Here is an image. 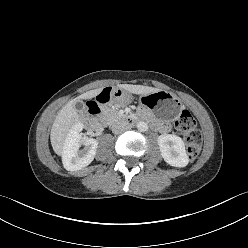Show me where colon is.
<instances>
[{"mask_svg":"<svg viewBox=\"0 0 248 248\" xmlns=\"http://www.w3.org/2000/svg\"><path fill=\"white\" fill-rule=\"evenodd\" d=\"M175 126L185 137L189 160H194L202 147V136L194 117L188 110H183L177 118Z\"/></svg>","mask_w":248,"mask_h":248,"instance_id":"obj_1","label":"colon"}]
</instances>
